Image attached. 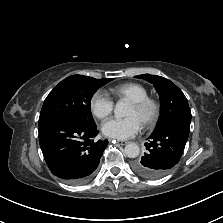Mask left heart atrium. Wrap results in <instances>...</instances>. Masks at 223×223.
I'll list each match as a JSON object with an SVG mask.
<instances>
[{"mask_svg":"<svg viewBox=\"0 0 223 223\" xmlns=\"http://www.w3.org/2000/svg\"><path fill=\"white\" fill-rule=\"evenodd\" d=\"M141 127L140 121L134 116L126 118H113L105 122L102 126V132L105 136L124 140L135 135Z\"/></svg>","mask_w":223,"mask_h":223,"instance_id":"1","label":"left heart atrium"}]
</instances>
